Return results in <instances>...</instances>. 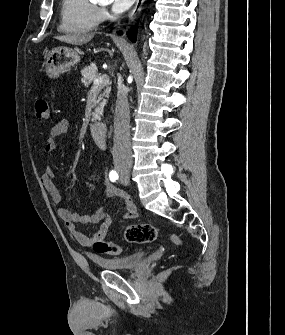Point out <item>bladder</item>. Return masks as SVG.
Listing matches in <instances>:
<instances>
[{"mask_svg": "<svg viewBox=\"0 0 285 335\" xmlns=\"http://www.w3.org/2000/svg\"><path fill=\"white\" fill-rule=\"evenodd\" d=\"M145 256L144 251H135L122 257L93 258V265H100L107 272L129 273L141 266Z\"/></svg>", "mask_w": 285, "mask_h": 335, "instance_id": "obj_1", "label": "bladder"}]
</instances>
